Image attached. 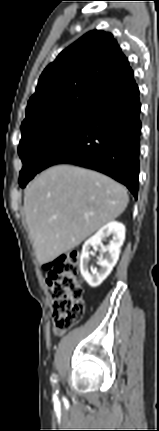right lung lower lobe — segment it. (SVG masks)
<instances>
[{"mask_svg":"<svg viewBox=\"0 0 159 431\" xmlns=\"http://www.w3.org/2000/svg\"><path fill=\"white\" fill-rule=\"evenodd\" d=\"M140 111L138 88L96 110L53 144L40 171L60 163L96 170L124 184L137 198Z\"/></svg>","mask_w":159,"mask_h":431,"instance_id":"obj_1","label":"right lung lower lobe"}]
</instances>
